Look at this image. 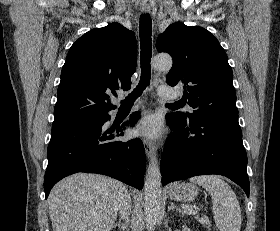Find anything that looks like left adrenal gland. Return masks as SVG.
I'll return each mask as SVG.
<instances>
[{
	"mask_svg": "<svg viewBox=\"0 0 280 231\" xmlns=\"http://www.w3.org/2000/svg\"><path fill=\"white\" fill-rule=\"evenodd\" d=\"M170 209H178V211H180V213H182V215H184L183 209H181V207H177V205H174L173 201H170L168 211H170Z\"/></svg>",
	"mask_w": 280,
	"mask_h": 231,
	"instance_id": "obj_1",
	"label": "left adrenal gland"
}]
</instances>
